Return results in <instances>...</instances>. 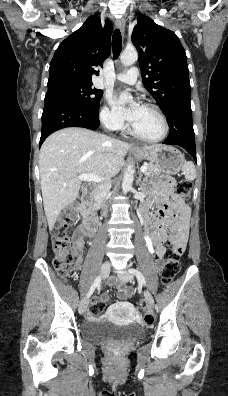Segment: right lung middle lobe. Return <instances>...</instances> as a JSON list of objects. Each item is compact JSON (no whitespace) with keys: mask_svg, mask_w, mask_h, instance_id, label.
Listing matches in <instances>:
<instances>
[{"mask_svg":"<svg viewBox=\"0 0 228 396\" xmlns=\"http://www.w3.org/2000/svg\"><path fill=\"white\" fill-rule=\"evenodd\" d=\"M103 91L92 87V83L63 82L48 86L45 98L64 97L83 108L99 110Z\"/></svg>","mask_w":228,"mask_h":396,"instance_id":"right-lung-middle-lobe-1","label":"right lung middle lobe"}]
</instances>
